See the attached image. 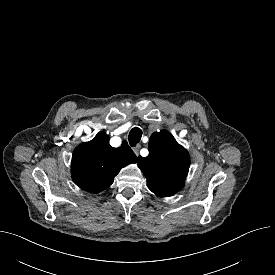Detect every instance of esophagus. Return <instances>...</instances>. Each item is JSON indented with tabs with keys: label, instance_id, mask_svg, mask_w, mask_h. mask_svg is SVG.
Wrapping results in <instances>:
<instances>
[{
	"label": "esophagus",
	"instance_id": "obj_1",
	"mask_svg": "<svg viewBox=\"0 0 275 275\" xmlns=\"http://www.w3.org/2000/svg\"><path fill=\"white\" fill-rule=\"evenodd\" d=\"M141 146L137 145L133 148L134 153L138 156L139 155V150H140Z\"/></svg>",
	"mask_w": 275,
	"mask_h": 275
}]
</instances>
